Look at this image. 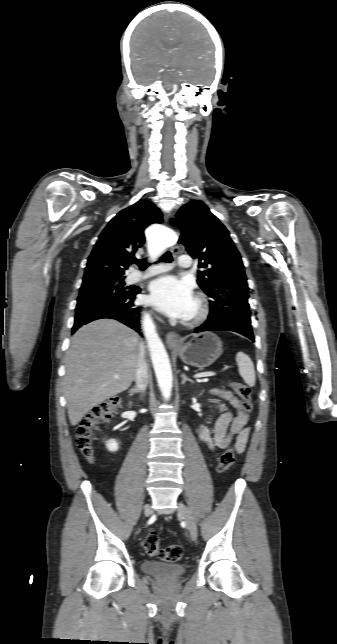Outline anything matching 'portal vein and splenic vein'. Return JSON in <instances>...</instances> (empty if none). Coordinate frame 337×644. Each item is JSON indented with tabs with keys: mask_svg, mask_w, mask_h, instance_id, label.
<instances>
[{
	"mask_svg": "<svg viewBox=\"0 0 337 644\" xmlns=\"http://www.w3.org/2000/svg\"><path fill=\"white\" fill-rule=\"evenodd\" d=\"M214 375H215L214 372H203V373L196 374L194 377L195 378H202V377H210V376H214ZM115 378H118V376H115Z\"/></svg>",
	"mask_w": 337,
	"mask_h": 644,
	"instance_id": "18ae733b",
	"label": "portal vein and splenic vein"
}]
</instances>
